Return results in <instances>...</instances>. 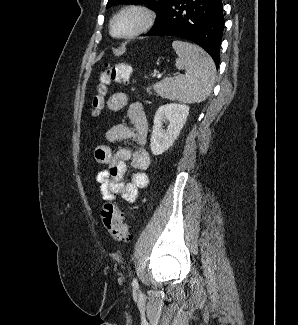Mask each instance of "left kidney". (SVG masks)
<instances>
[{"label": "left kidney", "instance_id": "5707ae66", "mask_svg": "<svg viewBox=\"0 0 298 325\" xmlns=\"http://www.w3.org/2000/svg\"><path fill=\"white\" fill-rule=\"evenodd\" d=\"M189 108L188 104L180 102H168L157 108L150 138L152 154H162L172 146L187 120ZM163 122H168L166 130L163 128Z\"/></svg>", "mask_w": 298, "mask_h": 325}]
</instances>
